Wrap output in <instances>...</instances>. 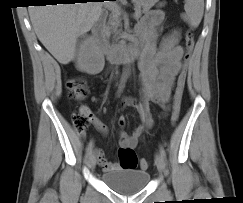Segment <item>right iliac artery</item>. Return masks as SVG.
I'll list each match as a JSON object with an SVG mask.
<instances>
[{"mask_svg":"<svg viewBox=\"0 0 243 203\" xmlns=\"http://www.w3.org/2000/svg\"><path fill=\"white\" fill-rule=\"evenodd\" d=\"M124 84H125V78H122L121 80V83H120V86H119V89H118V94L121 93L123 87H124ZM94 147V143L93 141H90L88 147H87V154L90 155V153L92 152V149Z\"/></svg>","mask_w":243,"mask_h":203,"instance_id":"obj_1","label":"right iliac artery"}]
</instances>
